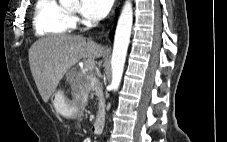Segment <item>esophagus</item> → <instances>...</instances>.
<instances>
[{
	"label": "esophagus",
	"instance_id": "esophagus-1",
	"mask_svg": "<svg viewBox=\"0 0 227 142\" xmlns=\"http://www.w3.org/2000/svg\"><path fill=\"white\" fill-rule=\"evenodd\" d=\"M118 5H119V0H116V3H115V5H114V8L112 9L111 14H110V19H111V20H113V18H114L115 11H116Z\"/></svg>",
	"mask_w": 227,
	"mask_h": 142
}]
</instances>
